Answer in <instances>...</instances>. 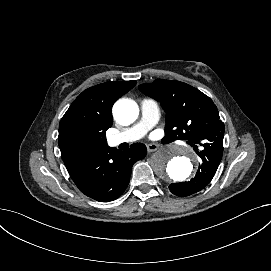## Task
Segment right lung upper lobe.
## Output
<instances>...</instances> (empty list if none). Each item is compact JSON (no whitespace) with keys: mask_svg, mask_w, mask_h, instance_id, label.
<instances>
[{"mask_svg":"<svg viewBox=\"0 0 271 271\" xmlns=\"http://www.w3.org/2000/svg\"><path fill=\"white\" fill-rule=\"evenodd\" d=\"M136 83L105 82L86 89L73 101L59 124L58 143L66 168L87 157L77 147L74 135L82 130L106 132L113 124L114 102Z\"/></svg>","mask_w":271,"mask_h":271,"instance_id":"cb5924a9","label":"right lung upper lobe"}]
</instances>
